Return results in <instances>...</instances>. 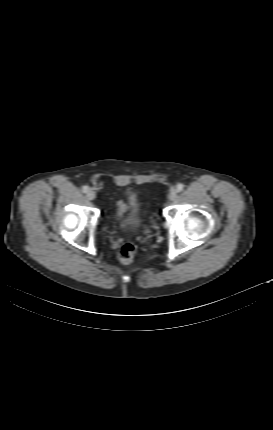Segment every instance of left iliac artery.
Masks as SVG:
<instances>
[{
    "label": "left iliac artery",
    "instance_id": "obj_1",
    "mask_svg": "<svg viewBox=\"0 0 273 430\" xmlns=\"http://www.w3.org/2000/svg\"><path fill=\"white\" fill-rule=\"evenodd\" d=\"M184 189V185L182 183H179L176 187L177 192H181Z\"/></svg>",
    "mask_w": 273,
    "mask_h": 430
}]
</instances>
